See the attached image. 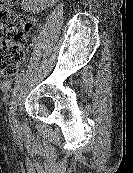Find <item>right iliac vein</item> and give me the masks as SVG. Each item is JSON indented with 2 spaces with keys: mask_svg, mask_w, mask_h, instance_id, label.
Masks as SVG:
<instances>
[{
  "mask_svg": "<svg viewBox=\"0 0 133 173\" xmlns=\"http://www.w3.org/2000/svg\"><path fill=\"white\" fill-rule=\"evenodd\" d=\"M19 90L16 92L13 101H12V108L10 110V123L11 125L15 126L17 123V109H18V103H19Z\"/></svg>",
  "mask_w": 133,
  "mask_h": 173,
  "instance_id": "63e3f726",
  "label": "right iliac vein"
}]
</instances>
